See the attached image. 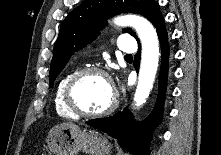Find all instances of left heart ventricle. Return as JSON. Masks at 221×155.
<instances>
[{
	"mask_svg": "<svg viewBox=\"0 0 221 155\" xmlns=\"http://www.w3.org/2000/svg\"><path fill=\"white\" fill-rule=\"evenodd\" d=\"M114 88L104 76L93 74L84 77L74 90L76 103L85 111L99 112L112 101Z\"/></svg>",
	"mask_w": 221,
	"mask_h": 155,
	"instance_id": "b2bd125f",
	"label": "left heart ventricle"
}]
</instances>
